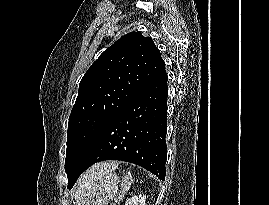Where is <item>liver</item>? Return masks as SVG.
<instances>
[{
  "label": "liver",
  "mask_w": 269,
  "mask_h": 205,
  "mask_svg": "<svg viewBox=\"0 0 269 205\" xmlns=\"http://www.w3.org/2000/svg\"><path fill=\"white\" fill-rule=\"evenodd\" d=\"M117 167L116 162H101L91 167L77 183V196H83L94 182Z\"/></svg>",
  "instance_id": "obj_1"
}]
</instances>
